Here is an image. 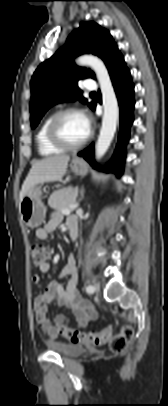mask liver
Returning <instances> with one entry per match:
<instances>
[{
	"instance_id": "1",
	"label": "liver",
	"mask_w": 168,
	"mask_h": 406,
	"mask_svg": "<svg viewBox=\"0 0 168 406\" xmlns=\"http://www.w3.org/2000/svg\"><path fill=\"white\" fill-rule=\"evenodd\" d=\"M69 160L68 155H57L33 163L22 185L20 201L36 185L61 180L67 172Z\"/></svg>"
}]
</instances>
